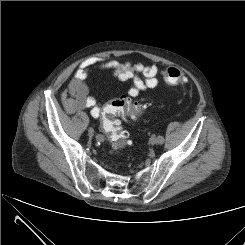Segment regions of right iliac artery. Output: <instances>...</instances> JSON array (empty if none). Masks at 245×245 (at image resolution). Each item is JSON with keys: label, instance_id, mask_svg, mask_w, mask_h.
<instances>
[{"label": "right iliac artery", "instance_id": "82829eb1", "mask_svg": "<svg viewBox=\"0 0 245 245\" xmlns=\"http://www.w3.org/2000/svg\"><path fill=\"white\" fill-rule=\"evenodd\" d=\"M93 131H94V130H93ZM96 138H97L98 140H103V137H102L101 135H97Z\"/></svg>", "mask_w": 245, "mask_h": 245}]
</instances>
